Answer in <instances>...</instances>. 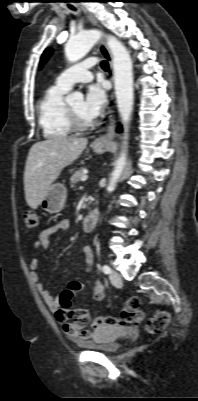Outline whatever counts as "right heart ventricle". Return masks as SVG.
I'll return each instance as SVG.
<instances>
[{"instance_id": "obj_1", "label": "right heart ventricle", "mask_w": 198, "mask_h": 401, "mask_svg": "<svg viewBox=\"0 0 198 401\" xmlns=\"http://www.w3.org/2000/svg\"><path fill=\"white\" fill-rule=\"evenodd\" d=\"M68 89L57 84L49 86L38 102V120L44 137L64 138L72 133L66 115L64 96Z\"/></svg>"}]
</instances>
